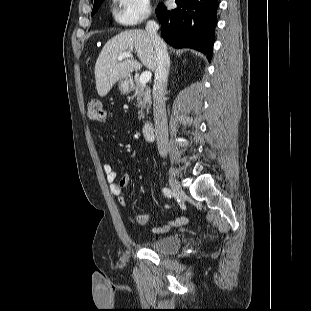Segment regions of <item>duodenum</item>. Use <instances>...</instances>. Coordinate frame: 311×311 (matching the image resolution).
Wrapping results in <instances>:
<instances>
[{
    "label": "duodenum",
    "mask_w": 311,
    "mask_h": 311,
    "mask_svg": "<svg viewBox=\"0 0 311 311\" xmlns=\"http://www.w3.org/2000/svg\"><path fill=\"white\" fill-rule=\"evenodd\" d=\"M142 133H143V136L144 138L147 140V141H150L153 136H154V126H153V122L152 121H147L143 128H142Z\"/></svg>",
    "instance_id": "410a0bca"
}]
</instances>
